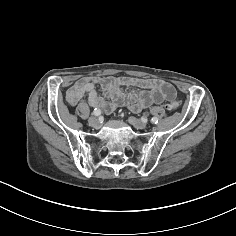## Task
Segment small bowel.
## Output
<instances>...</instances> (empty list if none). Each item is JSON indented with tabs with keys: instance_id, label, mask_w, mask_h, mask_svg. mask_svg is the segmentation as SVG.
Listing matches in <instances>:
<instances>
[{
	"instance_id": "small-bowel-1",
	"label": "small bowel",
	"mask_w": 236,
	"mask_h": 236,
	"mask_svg": "<svg viewBox=\"0 0 236 236\" xmlns=\"http://www.w3.org/2000/svg\"><path fill=\"white\" fill-rule=\"evenodd\" d=\"M102 87L104 94L100 95L95 85ZM124 87H136L140 92H123ZM93 108L104 113H111L117 106L127 104L135 112L164 101L176 99L174 86L166 81L146 77H91L77 80L66 93L68 103L75 106L83 97Z\"/></svg>"
}]
</instances>
